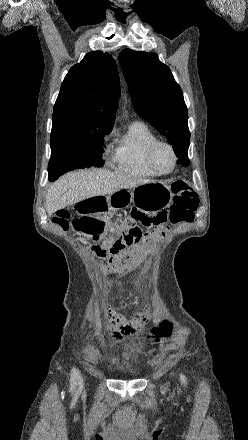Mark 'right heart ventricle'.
I'll use <instances>...</instances> for the list:
<instances>
[{
    "label": "right heart ventricle",
    "instance_id": "right-heart-ventricle-1",
    "mask_svg": "<svg viewBox=\"0 0 248 440\" xmlns=\"http://www.w3.org/2000/svg\"><path fill=\"white\" fill-rule=\"evenodd\" d=\"M157 140V136L143 122L131 123L126 133L116 141L113 155L115 169L134 177L157 176L146 161L148 147Z\"/></svg>",
    "mask_w": 248,
    "mask_h": 440
}]
</instances>
